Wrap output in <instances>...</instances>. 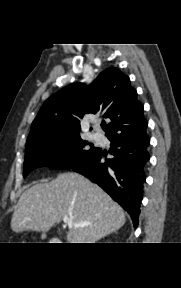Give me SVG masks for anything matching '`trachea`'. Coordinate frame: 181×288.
<instances>
[{"mask_svg":"<svg viewBox=\"0 0 181 288\" xmlns=\"http://www.w3.org/2000/svg\"><path fill=\"white\" fill-rule=\"evenodd\" d=\"M102 126L105 127L106 125H105V124H102Z\"/></svg>","mask_w":181,"mask_h":288,"instance_id":"1","label":"trachea"}]
</instances>
